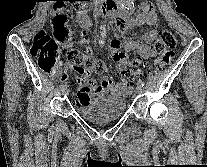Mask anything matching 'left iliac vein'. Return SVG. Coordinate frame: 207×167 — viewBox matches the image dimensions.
<instances>
[{
  "mask_svg": "<svg viewBox=\"0 0 207 167\" xmlns=\"http://www.w3.org/2000/svg\"><path fill=\"white\" fill-rule=\"evenodd\" d=\"M141 92H142V87L137 84L136 89H135V93L140 94Z\"/></svg>",
  "mask_w": 207,
  "mask_h": 167,
  "instance_id": "4c4485c4",
  "label": "left iliac vein"
}]
</instances>
